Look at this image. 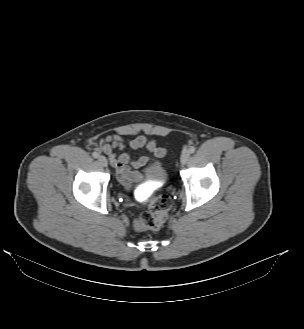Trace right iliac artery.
I'll return each instance as SVG.
<instances>
[{"label":"right iliac artery","mask_w":304,"mask_h":329,"mask_svg":"<svg viewBox=\"0 0 304 329\" xmlns=\"http://www.w3.org/2000/svg\"><path fill=\"white\" fill-rule=\"evenodd\" d=\"M92 156H93L94 158H98V157H99V153H97V152H93V153H92Z\"/></svg>","instance_id":"1"}]
</instances>
